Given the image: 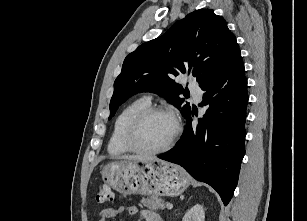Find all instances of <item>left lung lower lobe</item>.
<instances>
[{
	"label": "left lung lower lobe",
	"instance_id": "obj_1",
	"mask_svg": "<svg viewBox=\"0 0 307 221\" xmlns=\"http://www.w3.org/2000/svg\"><path fill=\"white\" fill-rule=\"evenodd\" d=\"M202 90L200 105H209L204 118L195 129L190 114L176 147L158 157L182 166L193 178L212 186L227 205L245 154L248 95L241 53Z\"/></svg>",
	"mask_w": 307,
	"mask_h": 221
}]
</instances>
